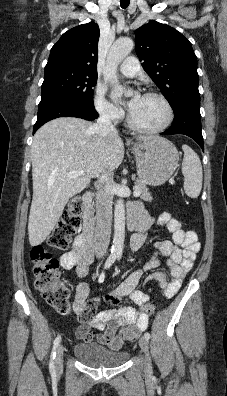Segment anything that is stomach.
Instances as JSON below:
<instances>
[{
  "label": "stomach",
  "instance_id": "obj_1",
  "mask_svg": "<svg viewBox=\"0 0 227 396\" xmlns=\"http://www.w3.org/2000/svg\"><path fill=\"white\" fill-rule=\"evenodd\" d=\"M132 150L135 154L137 175L144 184H164L178 166L179 154L176 147L162 137H148L134 144Z\"/></svg>",
  "mask_w": 227,
  "mask_h": 396
}]
</instances>
